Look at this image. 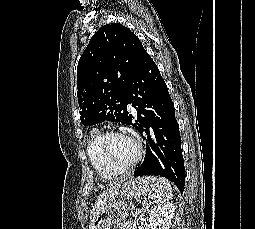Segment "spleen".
<instances>
[{"instance_id":"obj_1","label":"spleen","mask_w":255,"mask_h":229,"mask_svg":"<svg viewBox=\"0 0 255 229\" xmlns=\"http://www.w3.org/2000/svg\"><path fill=\"white\" fill-rule=\"evenodd\" d=\"M156 187L150 194V198L154 202H167L172 197V188L170 182L163 177L155 178Z\"/></svg>"}]
</instances>
